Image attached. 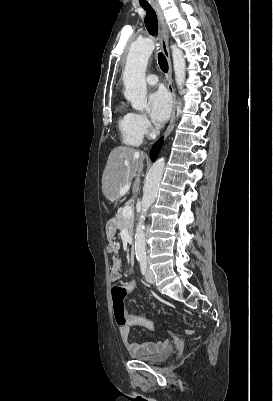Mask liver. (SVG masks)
Segmentation results:
<instances>
[{
    "label": "liver",
    "mask_w": 273,
    "mask_h": 401,
    "mask_svg": "<svg viewBox=\"0 0 273 401\" xmlns=\"http://www.w3.org/2000/svg\"><path fill=\"white\" fill-rule=\"evenodd\" d=\"M144 154L142 150L130 146H116L111 150L102 176V188L109 201L121 198L120 190L125 184H131L136 172L143 168ZM139 176L132 188L137 190Z\"/></svg>",
    "instance_id": "1"
}]
</instances>
